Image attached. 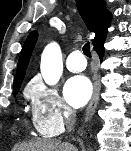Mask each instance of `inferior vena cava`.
<instances>
[{"mask_svg":"<svg viewBox=\"0 0 131 151\" xmlns=\"http://www.w3.org/2000/svg\"><path fill=\"white\" fill-rule=\"evenodd\" d=\"M75 122H76L75 115L72 113V111H69L65 121L68 132H71L74 129Z\"/></svg>","mask_w":131,"mask_h":151,"instance_id":"inferior-vena-cava-1","label":"inferior vena cava"}]
</instances>
